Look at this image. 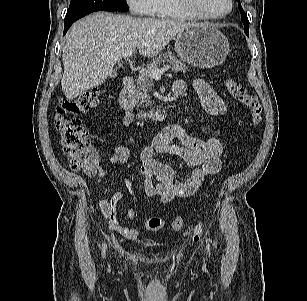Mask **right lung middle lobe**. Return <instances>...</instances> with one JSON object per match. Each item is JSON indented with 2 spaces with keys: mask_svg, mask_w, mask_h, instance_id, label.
Segmentation results:
<instances>
[{
  "mask_svg": "<svg viewBox=\"0 0 307 301\" xmlns=\"http://www.w3.org/2000/svg\"><path fill=\"white\" fill-rule=\"evenodd\" d=\"M125 0H71L65 20L84 16L96 11H127Z\"/></svg>",
  "mask_w": 307,
  "mask_h": 301,
  "instance_id": "1",
  "label": "right lung middle lobe"
}]
</instances>
